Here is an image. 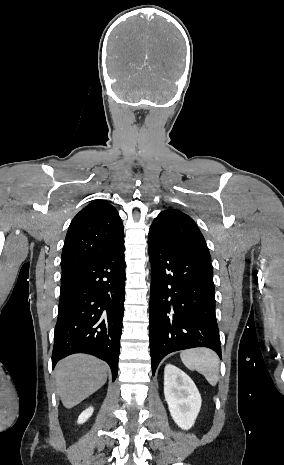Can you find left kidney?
<instances>
[{
  "instance_id": "5707ae66",
  "label": "left kidney",
  "mask_w": 284,
  "mask_h": 465,
  "mask_svg": "<svg viewBox=\"0 0 284 465\" xmlns=\"http://www.w3.org/2000/svg\"><path fill=\"white\" fill-rule=\"evenodd\" d=\"M164 395L170 415L184 431L193 427L201 409V395L192 379L174 365L164 369Z\"/></svg>"
}]
</instances>
